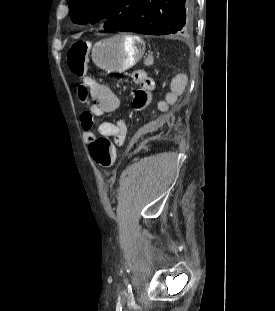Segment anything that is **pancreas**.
<instances>
[{"instance_id":"obj_1","label":"pancreas","mask_w":275,"mask_h":311,"mask_svg":"<svg viewBox=\"0 0 275 311\" xmlns=\"http://www.w3.org/2000/svg\"><path fill=\"white\" fill-rule=\"evenodd\" d=\"M145 64L147 63V59L145 60V62H144Z\"/></svg>"}]
</instances>
